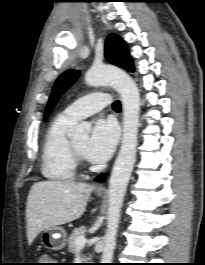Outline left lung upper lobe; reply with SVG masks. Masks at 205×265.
I'll return each instance as SVG.
<instances>
[{
    "mask_svg": "<svg viewBox=\"0 0 205 265\" xmlns=\"http://www.w3.org/2000/svg\"><path fill=\"white\" fill-rule=\"evenodd\" d=\"M105 57L114 65L130 72L134 71L133 62L130 58L128 48L118 35L112 34L108 36L105 44ZM79 74L80 71L71 69L59 76L53 86L46 107L45 118L49 116L60 96L77 80Z\"/></svg>",
    "mask_w": 205,
    "mask_h": 265,
    "instance_id": "5c2ea615",
    "label": "left lung upper lobe"
}]
</instances>
